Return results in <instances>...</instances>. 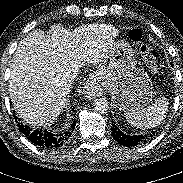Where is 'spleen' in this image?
<instances>
[{"label": "spleen", "mask_w": 183, "mask_h": 183, "mask_svg": "<svg viewBox=\"0 0 183 183\" xmlns=\"http://www.w3.org/2000/svg\"><path fill=\"white\" fill-rule=\"evenodd\" d=\"M168 104L167 99L162 97L144 109L127 110L124 115L131 125L142 129H150L158 126L164 120L169 107Z\"/></svg>", "instance_id": "spleen-1"}]
</instances>
